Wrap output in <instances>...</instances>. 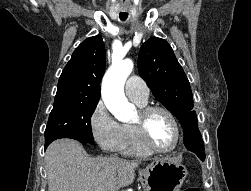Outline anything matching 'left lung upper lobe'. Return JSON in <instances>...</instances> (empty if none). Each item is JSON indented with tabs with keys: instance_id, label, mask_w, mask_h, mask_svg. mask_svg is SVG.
Here are the masks:
<instances>
[{
	"instance_id": "obj_1",
	"label": "left lung upper lobe",
	"mask_w": 251,
	"mask_h": 191,
	"mask_svg": "<svg viewBox=\"0 0 251 191\" xmlns=\"http://www.w3.org/2000/svg\"><path fill=\"white\" fill-rule=\"evenodd\" d=\"M138 72L155 98L181 122L186 148L205 159L189 81L164 39L151 37L140 48Z\"/></svg>"
}]
</instances>
